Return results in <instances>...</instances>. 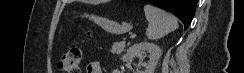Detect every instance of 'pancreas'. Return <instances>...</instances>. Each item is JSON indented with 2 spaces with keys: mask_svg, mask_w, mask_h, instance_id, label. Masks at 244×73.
<instances>
[{
  "mask_svg": "<svg viewBox=\"0 0 244 73\" xmlns=\"http://www.w3.org/2000/svg\"><path fill=\"white\" fill-rule=\"evenodd\" d=\"M125 47H126V43L124 41H122V42H115L112 45L111 52H112V54L119 55V54H121L124 51Z\"/></svg>",
  "mask_w": 244,
  "mask_h": 73,
  "instance_id": "1",
  "label": "pancreas"
}]
</instances>
